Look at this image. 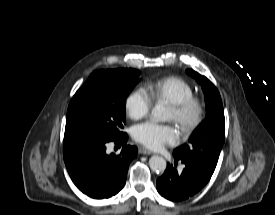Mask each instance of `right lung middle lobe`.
<instances>
[{"mask_svg":"<svg viewBox=\"0 0 275 215\" xmlns=\"http://www.w3.org/2000/svg\"><path fill=\"white\" fill-rule=\"evenodd\" d=\"M139 75L138 70L124 68L94 71L69 104L64 141L122 136L126 97Z\"/></svg>","mask_w":275,"mask_h":215,"instance_id":"right-lung-middle-lobe-1","label":"right lung middle lobe"}]
</instances>
